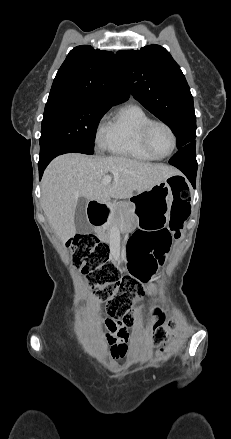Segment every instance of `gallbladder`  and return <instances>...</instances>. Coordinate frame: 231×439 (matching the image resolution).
Returning a JSON list of instances; mask_svg holds the SVG:
<instances>
[{
  "label": "gallbladder",
  "instance_id": "gallbladder-1",
  "mask_svg": "<svg viewBox=\"0 0 231 439\" xmlns=\"http://www.w3.org/2000/svg\"><path fill=\"white\" fill-rule=\"evenodd\" d=\"M87 203V199L80 198L75 209L74 222L76 231L78 233H88L91 231V227L86 216Z\"/></svg>",
  "mask_w": 231,
  "mask_h": 439
}]
</instances>
